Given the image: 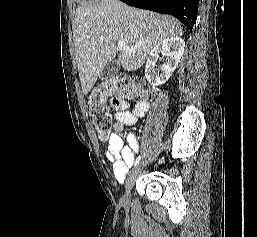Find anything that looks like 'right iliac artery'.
Masks as SVG:
<instances>
[{
	"instance_id": "1",
	"label": "right iliac artery",
	"mask_w": 257,
	"mask_h": 237,
	"mask_svg": "<svg viewBox=\"0 0 257 237\" xmlns=\"http://www.w3.org/2000/svg\"><path fill=\"white\" fill-rule=\"evenodd\" d=\"M140 159H141V156H138V157L136 158V160H135V162H134V166H136V165L139 163Z\"/></svg>"
}]
</instances>
